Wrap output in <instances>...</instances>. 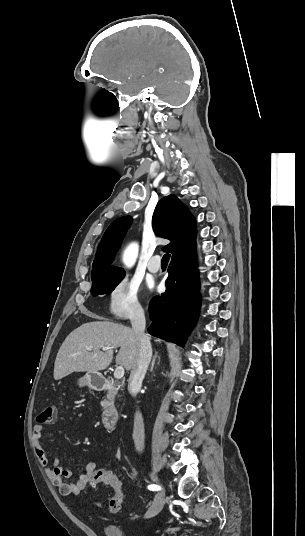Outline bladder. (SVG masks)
Instances as JSON below:
<instances>
[{"instance_id":"obj_1","label":"bladder","mask_w":305,"mask_h":536,"mask_svg":"<svg viewBox=\"0 0 305 536\" xmlns=\"http://www.w3.org/2000/svg\"><path fill=\"white\" fill-rule=\"evenodd\" d=\"M101 530L104 536H130L127 528L123 525L103 523Z\"/></svg>"}]
</instances>
